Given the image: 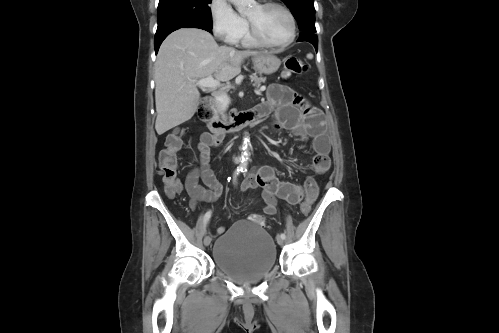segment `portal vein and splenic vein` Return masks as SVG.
Instances as JSON below:
<instances>
[{
    "label": "portal vein and splenic vein",
    "mask_w": 499,
    "mask_h": 333,
    "mask_svg": "<svg viewBox=\"0 0 499 333\" xmlns=\"http://www.w3.org/2000/svg\"><path fill=\"white\" fill-rule=\"evenodd\" d=\"M200 88H215L220 85V82L215 80L212 76H208L204 79H200L198 81H193ZM266 89L265 86L261 87L259 91L256 93H261Z\"/></svg>",
    "instance_id": "obj_1"
}]
</instances>
